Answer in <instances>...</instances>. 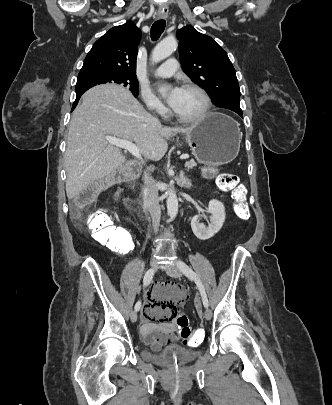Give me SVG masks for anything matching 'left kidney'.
Masks as SVG:
<instances>
[{"instance_id": "obj_1", "label": "left kidney", "mask_w": 332, "mask_h": 405, "mask_svg": "<svg viewBox=\"0 0 332 405\" xmlns=\"http://www.w3.org/2000/svg\"><path fill=\"white\" fill-rule=\"evenodd\" d=\"M224 205L218 200H210L205 213L195 215L191 220V228L195 236L200 240L212 238L220 231L225 221ZM201 218L209 220L208 226L200 222Z\"/></svg>"}]
</instances>
